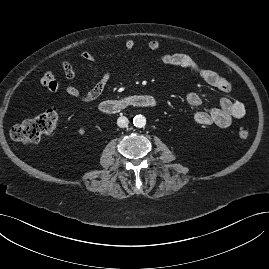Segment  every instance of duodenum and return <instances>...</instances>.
<instances>
[{
    "mask_svg": "<svg viewBox=\"0 0 269 269\" xmlns=\"http://www.w3.org/2000/svg\"><path fill=\"white\" fill-rule=\"evenodd\" d=\"M157 104L154 97L149 95L128 96L109 99L100 103V111L107 115L117 114L127 108H153Z\"/></svg>",
    "mask_w": 269,
    "mask_h": 269,
    "instance_id": "duodenum-1",
    "label": "duodenum"
}]
</instances>
